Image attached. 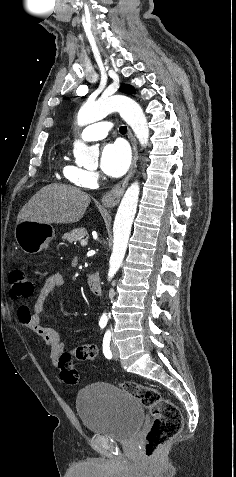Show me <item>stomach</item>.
Returning a JSON list of instances; mask_svg holds the SVG:
<instances>
[{"mask_svg":"<svg viewBox=\"0 0 236 477\" xmlns=\"http://www.w3.org/2000/svg\"><path fill=\"white\" fill-rule=\"evenodd\" d=\"M15 239L18 246L27 254H36L47 249L55 237L51 224L22 220L15 227Z\"/></svg>","mask_w":236,"mask_h":477,"instance_id":"1","label":"stomach"}]
</instances>
